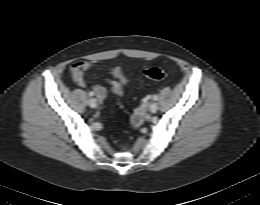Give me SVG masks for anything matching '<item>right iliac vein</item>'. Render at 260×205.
Segmentation results:
<instances>
[{"label": "right iliac vein", "mask_w": 260, "mask_h": 205, "mask_svg": "<svg viewBox=\"0 0 260 205\" xmlns=\"http://www.w3.org/2000/svg\"><path fill=\"white\" fill-rule=\"evenodd\" d=\"M88 104L91 108H96L97 107V100L95 98H90L88 100Z\"/></svg>", "instance_id": "1"}]
</instances>
